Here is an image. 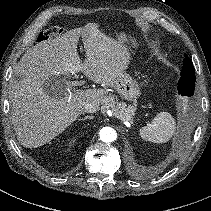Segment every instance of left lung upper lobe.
<instances>
[{"label":"left lung upper lobe","mask_w":211,"mask_h":211,"mask_svg":"<svg viewBox=\"0 0 211 211\" xmlns=\"http://www.w3.org/2000/svg\"><path fill=\"white\" fill-rule=\"evenodd\" d=\"M195 89V69L191 59L185 54L181 78L178 83V91L182 96L191 97Z\"/></svg>","instance_id":"5c2ea615"}]
</instances>
